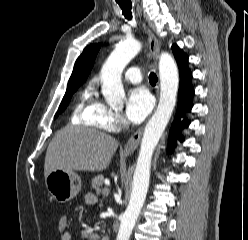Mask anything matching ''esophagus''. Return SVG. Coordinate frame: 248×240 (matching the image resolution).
<instances>
[{
	"instance_id": "34e87169",
	"label": "esophagus",
	"mask_w": 248,
	"mask_h": 240,
	"mask_svg": "<svg viewBox=\"0 0 248 240\" xmlns=\"http://www.w3.org/2000/svg\"><path fill=\"white\" fill-rule=\"evenodd\" d=\"M148 37H149V49L151 54L153 55L154 59L157 61L160 51V43L154 36V34L148 29ZM157 95H158V89H157ZM143 133V127H140L128 140L126 145L124 146L123 153L125 154H131L135 151V149L138 147L141 137Z\"/></svg>"
}]
</instances>
